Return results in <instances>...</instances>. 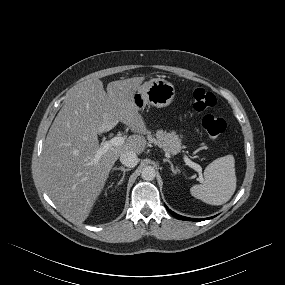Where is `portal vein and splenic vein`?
Returning a JSON list of instances; mask_svg holds the SVG:
<instances>
[{
    "instance_id": "obj_1",
    "label": "portal vein and splenic vein",
    "mask_w": 285,
    "mask_h": 285,
    "mask_svg": "<svg viewBox=\"0 0 285 285\" xmlns=\"http://www.w3.org/2000/svg\"><path fill=\"white\" fill-rule=\"evenodd\" d=\"M125 142V138L121 137V136H115L112 139L108 140V141H104L101 143V147L99 148V150L96 153L95 162H98L100 156L102 154H104L109 148L113 147V146H119L122 145ZM184 161L185 163L190 166L191 168H193L194 170H196L197 172H199V174H201L202 168L200 165L192 162L186 155L184 156ZM199 181L203 182V177L200 175L199 176Z\"/></svg>"
}]
</instances>
